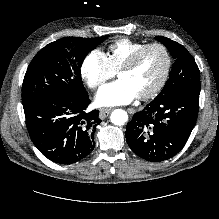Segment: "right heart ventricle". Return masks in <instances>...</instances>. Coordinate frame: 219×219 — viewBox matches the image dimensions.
<instances>
[{
	"label": "right heart ventricle",
	"instance_id": "obj_1",
	"mask_svg": "<svg viewBox=\"0 0 219 219\" xmlns=\"http://www.w3.org/2000/svg\"><path fill=\"white\" fill-rule=\"evenodd\" d=\"M144 45V42L134 41L129 38H121L112 42L108 46L106 56L113 70H118L133 53Z\"/></svg>",
	"mask_w": 219,
	"mask_h": 219
}]
</instances>
